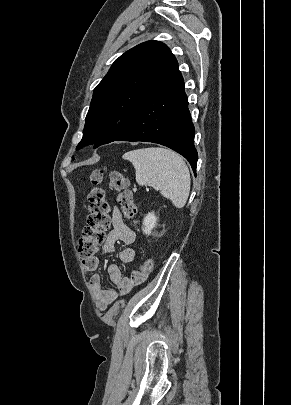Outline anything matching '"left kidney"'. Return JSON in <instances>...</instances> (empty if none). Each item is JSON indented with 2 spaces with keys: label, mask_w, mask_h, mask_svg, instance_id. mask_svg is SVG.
I'll list each match as a JSON object with an SVG mask.
<instances>
[{
  "label": "left kidney",
  "mask_w": 291,
  "mask_h": 405,
  "mask_svg": "<svg viewBox=\"0 0 291 405\" xmlns=\"http://www.w3.org/2000/svg\"><path fill=\"white\" fill-rule=\"evenodd\" d=\"M157 217L155 216L154 212H151L147 214L143 220V233L146 235H150L152 229L156 226L157 224Z\"/></svg>",
  "instance_id": "1"
}]
</instances>
